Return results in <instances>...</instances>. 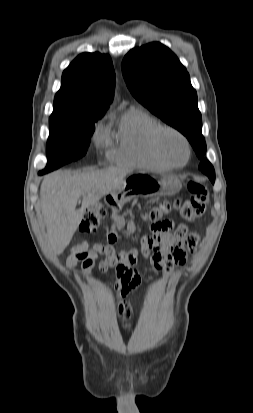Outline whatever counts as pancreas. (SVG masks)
Here are the masks:
<instances>
[{
	"mask_svg": "<svg viewBox=\"0 0 253 413\" xmlns=\"http://www.w3.org/2000/svg\"><path fill=\"white\" fill-rule=\"evenodd\" d=\"M124 226V219L123 217H119L115 220V224L114 227H117L118 229H120L121 227Z\"/></svg>",
	"mask_w": 253,
	"mask_h": 413,
	"instance_id": "1",
	"label": "pancreas"
}]
</instances>
